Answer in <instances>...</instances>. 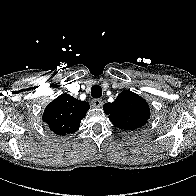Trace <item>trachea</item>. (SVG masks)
Instances as JSON below:
<instances>
[{
  "instance_id": "obj_1",
  "label": "trachea",
  "mask_w": 196,
  "mask_h": 196,
  "mask_svg": "<svg viewBox=\"0 0 196 196\" xmlns=\"http://www.w3.org/2000/svg\"><path fill=\"white\" fill-rule=\"evenodd\" d=\"M91 96L93 98H100L102 96V88L99 85H94L91 88Z\"/></svg>"
}]
</instances>
